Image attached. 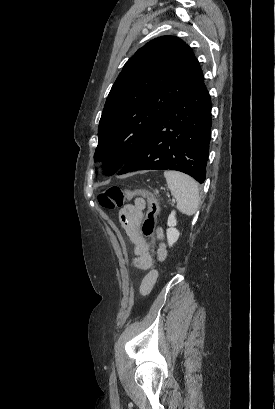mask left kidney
Here are the masks:
<instances>
[{
  "mask_svg": "<svg viewBox=\"0 0 275 409\" xmlns=\"http://www.w3.org/2000/svg\"><path fill=\"white\" fill-rule=\"evenodd\" d=\"M167 225L168 227H170V229H167V233H166L167 241H168L169 247H172V245H174V243L178 241L179 235H180L177 229H174V227H176L177 225L175 211H172L171 215H169Z\"/></svg>",
  "mask_w": 275,
  "mask_h": 409,
  "instance_id": "1",
  "label": "left kidney"
}]
</instances>
